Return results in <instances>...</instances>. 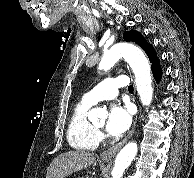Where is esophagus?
<instances>
[{"label": "esophagus", "mask_w": 194, "mask_h": 178, "mask_svg": "<svg viewBox=\"0 0 194 178\" xmlns=\"http://www.w3.org/2000/svg\"><path fill=\"white\" fill-rule=\"evenodd\" d=\"M136 122H137V117L134 121V124L132 126V129L130 130V132L128 133V135L119 143L115 144L114 146H112L111 148H109L108 150L104 151L101 155V157L103 159H111L113 158L118 152L119 150L124 146V144L131 138V136L133 135L135 128H136Z\"/></svg>", "instance_id": "1"}]
</instances>
